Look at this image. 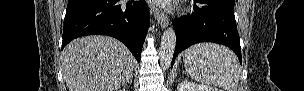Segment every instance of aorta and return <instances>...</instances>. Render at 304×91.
Wrapping results in <instances>:
<instances>
[{
    "mask_svg": "<svg viewBox=\"0 0 304 91\" xmlns=\"http://www.w3.org/2000/svg\"><path fill=\"white\" fill-rule=\"evenodd\" d=\"M176 47V34L173 27L167 28L161 38L159 56L160 64L163 68L168 69L171 65L173 54Z\"/></svg>",
    "mask_w": 304,
    "mask_h": 91,
    "instance_id": "aorta-1",
    "label": "aorta"
}]
</instances>
